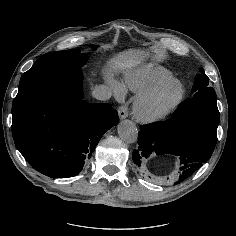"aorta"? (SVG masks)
I'll return each mask as SVG.
<instances>
[{"instance_id":"1","label":"aorta","mask_w":236,"mask_h":236,"mask_svg":"<svg viewBox=\"0 0 236 236\" xmlns=\"http://www.w3.org/2000/svg\"><path fill=\"white\" fill-rule=\"evenodd\" d=\"M118 134L126 143H135L138 138V130L134 122L123 120L118 125Z\"/></svg>"}]
</instances>
